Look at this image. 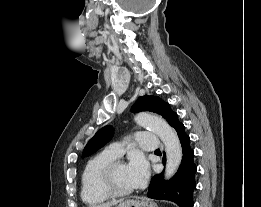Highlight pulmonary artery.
Segmentation results:
<instances>
[{
    "instance_id": "pulmonary-artery-1",
    "label": "pulmonary artery",
    "mask_w": 261,
    "mask_h": 207,
    "mask_svg": "<svg viewBox=\"0 0 261 207\" xmlns=\"http://www.w3.org/2000/svg\"><path fill=\"white\" fill-rule=\"evenodd\" d=\"M136 139L138 146L145 151H155L162 147V143L159 140V137L147 131H141L136 133ZM105 151L115 158L121 157L124 152V144L122 143H113L109 145Z\"/></svg>"
}]
</instances>
